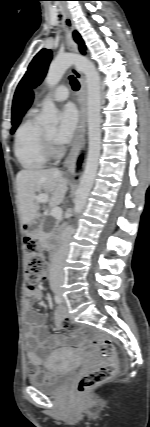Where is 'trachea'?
<instances>
[{"label": "trachea", "mask_w": 150, "mask_h": 427, "mask_svg": "<svg viewBox=\"0 0 150 427\" xmlns=\"http://www.w3.org/2000/svg\"><path fill=\"white\" fill-rule=\"evenodd\" d=\"M69 79H70L72 89L74 91H77L79 89V83H78L77 79L72 75L69 77Z\"/></svg>", "instance_id": "3493384b"}]
</instances>
